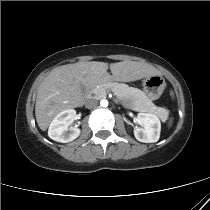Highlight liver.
I'll return each mask as SVG.
<instances>
[{"label": "liver", "instance_id": "6515ba94", "mask_svg": "<svg viewBox=\"0 0 210 210\" xmlns=\"http://www.w3.org/2000/svg\"><path fill=\"white\" fill-rule=\"evenodd\" d=\"M110 68L112 75L107 70ZM158 71L142 62L122 61L108 63L91 61L67 64L52 70L39 86L35 116L39 128L47 130L60 112L76 108L83 102V90L109 81L133 82Z\"/></svg>", "mask_w": 210, "mask_h": 210}]
</instances>
